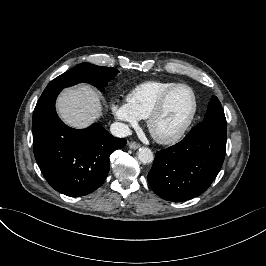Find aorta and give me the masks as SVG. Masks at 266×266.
I'll return each instance as SVG.
<instances>
[{
	"label": "aorta",
	"mask_w": 266,
	"mask_h": 266,
	"mask_svg": "<svg viewBox=\"0 0 266 266\" xmlns=\"http://www.w3.org/2000/svg\"><path fill=\"white\" fill-rule=\"evenodd\" d=\"M138 159L143 164L151 163L154 159L153 152L147 147H142L137 152Z\"/></svg>",
	"instance_id": "762f6f07"
}]
</instances>
